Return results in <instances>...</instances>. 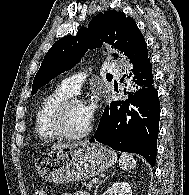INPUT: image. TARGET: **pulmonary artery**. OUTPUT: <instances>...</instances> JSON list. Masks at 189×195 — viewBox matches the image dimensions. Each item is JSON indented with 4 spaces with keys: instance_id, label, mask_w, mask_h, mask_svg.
Masks as SVG:
<instances>
[{
    "instance_id": "e3ab8cb5",
    "label": "pulmonary artery",
    "mask_w": 189,
    "mask_h": 195,
    "mask_svg": "<svg viewBox=\"0 0 189 195\" xmlns=\"http://www.w3.org/2000/svg\"><path fill=\"white\" fill-rule=\"evenodd\" d=\"M110 71L112 72L113 70ZM84 79L85 77L83 75L75 74L73 76L65 78L61 83V87L70 94H75L79 90V87Z\"/></svg>"
}]
</instances>
